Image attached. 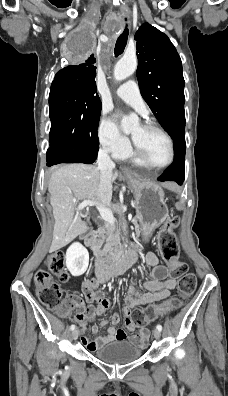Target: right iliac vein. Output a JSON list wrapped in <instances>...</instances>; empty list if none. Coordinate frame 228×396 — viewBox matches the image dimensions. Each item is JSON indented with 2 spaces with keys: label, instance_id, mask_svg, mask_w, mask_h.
<instances>
[{
  "label": "right iliac vein",
  "instance_id": "right-iliac-vein-1",
  "mask_svg": "<svg viewBox=\"0 0 228 396\" xmlns=\"http://www.w3.org/2000/svg\"><path fill=\"white\" fill-rule=\"evenodd\" d=\"M79 332L77 329L73 330L72 332V339L76 340L78 338Z\"/></svg>",
  "mask_w": 228,
  "mask_h": 396
}]
</instances>
